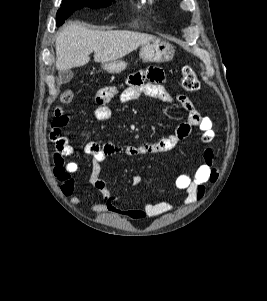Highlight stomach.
Wrapping results in <instances>:
<instances>
[{
	"instance_id": "obj_1",
	"label": "stomach",
	"mask_w": 267,
	"mask_h": 301,
	"mask_svg": "<svg viewBox=\"0 0 267 301\" xmlns=\"http://www.w3.org/2000/svg\"><path fill=\"white\" fill-rule=\"evenodd\" d=\"M175 49L171 43L155 39L143 44L140 49V58L144 62L163 63L172 60ZM127 64L122 60L102 63V69L110 74H118L126 69Z\"/></svg>"
}]
</instances>
